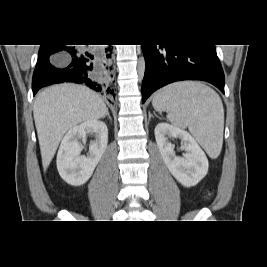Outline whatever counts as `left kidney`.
<instances>
[{"label": "left kidney", "mask_w": 267, "mask_h": 267, "mask_svg": "<svg viewBox=\"0 0 267 267\" xmlns=\"http://www.w3.org/2000/svg\"><path fill=\"white\" fill-rule=\"evenodd\" d=\"M155 139L163 161L171 174L185 187L198 184L208 172V159L196 140L185 130L167 123L155 127ZM179 138L185 154L180 157L174 152L169 139Z\"/></svg>", "instance_id": "5707ae66"}]
</instances>
